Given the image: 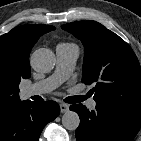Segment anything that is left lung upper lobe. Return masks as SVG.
I'll return each mask as SVG.
<instances>
[{"label": "left lung upper lobe", "instance_id": "1", "mask_svg": "<svg viewBox=\"0 0 141 141\" xmlns=\"http://www.w3.org/2000/svg\"><path fill=\"white\" fill-rule=\"evenodd\" d=\"M62 29L85 47L82 81L96 84V103L141 114V67L131 47L95 21L72 22Z\"/></svg>", "mask_w": 141, "mask_h": 141}]
</instances>
